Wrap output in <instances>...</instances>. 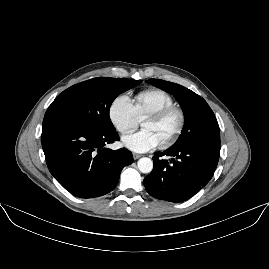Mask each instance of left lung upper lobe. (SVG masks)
I'll return each instance as SVG.
<instances>
[{"instance_id":"left-lung-upper-lobe-1","label":"left lung upper lobe","mask_w":269,"mask_h":269,"mask_svg":"<svg viewBox=\"0 0 269 269\" xmlns=\"http://www.w3.org/2000/svg\"><path fill=\"white\" fill-rule=\"evenodd\" d=\"M146 82L172 94L182 107L185 124L173 146L209 145L220 149L218 122L201 96L176 83L160 79H149Z\"/></svg>"}]
</instances>
